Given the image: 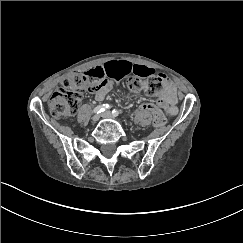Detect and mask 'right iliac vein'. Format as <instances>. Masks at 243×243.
Masks as SVG:
<instances>
[{"label": "right iliac vein", "mask_w": 243, "mask_h": 243, "mask_svg": "<svg viewBox=\"0 0 243 243\" xmlns=\"http://www.w3.org/2000/svg\"><path fill=\"white\" fill-rule=\"evenodd\" d=\"M99 118H100V115L96 114V115H94V116L92 117V121H93L94 123H96V122L99 120Z\"/></svg>", "instance_id": "right-iliac-vein-1"}]
</instances>
